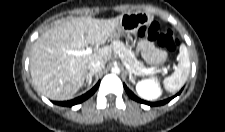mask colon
Masks as SVG:
<instances>
[{
  "label": "colon",
  "instance_id": "obj_1",
  "mask_svg": "<svg viewBox=\"0 0 225 132\" xmlns=\"http://www.w3.org/2000/svg\"><path fill=\"white\" fill-rule=\"evenodd\" d=\"M138 34L149 41L157 42L161 47L170 52L176 51L179 47V41L175 33L172 30L160 32L159 25L156 22H151L142 26Z\"/></svg>",
  "mask_w": 225,
  "mask_h": 132
}]
</instances>
